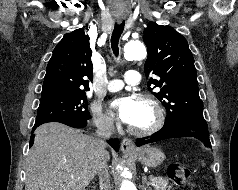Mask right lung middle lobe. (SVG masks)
Segmentation results:
<instances>
[{"instance_id": "dd1d6c3e", "label": "right lung middle lobe", "mask_w": 238, "mask_h": 190, "mask_svg": "<svg viewBox=\"0 0 238 190\" xmlns=\"http://www.w3.org/2000/svg\"><path fill=\"white\" fill-rule=\"evenodd\" d=\"M87 105L85 93L41 97L35 124L62 120H88Z\"/></svg>"}]
</instances>
